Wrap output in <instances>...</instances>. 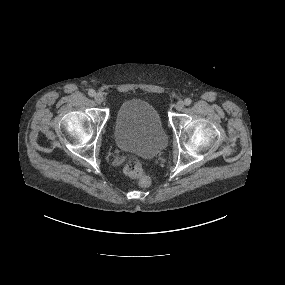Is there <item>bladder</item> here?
<instances>
[{
    "label": "bladder",
    "instance_id": "obj_1",
    "mask_svg": "<svg viewBox=\"0 0 285 285\" xmlns=\"http://www.w3.org/2000/svg\"><path fill=\"white\" fill-rule=\"evenodd\" d=\"M114 137L119 148L145 158L157 156L167 145L158 111L139 99L127 100L118 108Z\"/></svg>",
    "mask_w": 285,
    "mask_h": 285
}]
</instances>
